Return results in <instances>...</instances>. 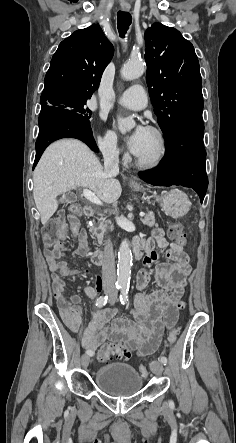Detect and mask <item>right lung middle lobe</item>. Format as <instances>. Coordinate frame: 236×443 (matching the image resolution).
<instances>
[{
  "mask_svg": "<svg viewBox=\"0 0 236 443\" xmlns=\"http://www.w3.org/2000/svg\"><path fill=\"white\" fill-rule=\"evenodd\" d=\"M87 97L71 95V94H58L47 98L41 102V108L47 106H55L64 109L69 115L76 119L89 124L91 118V110L85 106Z\"/></svg>",
  "mask_w": 236,
  "mask_h": 443,
  "instance_id": "right-lung-middle-lobe-1",
  "label": "right lung middle lobe"
}]
</instances>
